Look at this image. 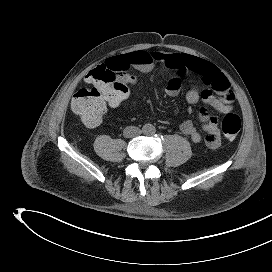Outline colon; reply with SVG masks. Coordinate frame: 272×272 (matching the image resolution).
Listing matches in <instances>:
<instances>
[{
    "instance_id": "obj_1",
    "label": "colon",
    "mask_w": 272,
    "mask_h": 272,
    "mask_svg": "<svg viewBox=\"0 0 272 272\" xmlns=\"http://www.w3.org/2000/svg\"><path fill=\"white\" fill-rule=\"evenodd\" d=\"M124 69L99 65L85 77L87 87L79 89L73 96L71 108L73 112L88 127L94 128L101 122L107 104L117 107L127 98L129 89L127 83L120 77ZM225 139L233 141L241 127L240 117L226 113L221 121Z\"/></svg>"
}]
</instances>
